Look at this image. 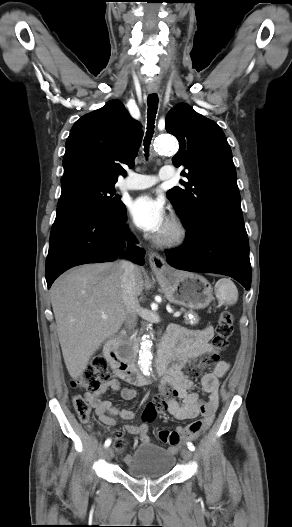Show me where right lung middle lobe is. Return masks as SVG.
Instances as JSON below:
<instances>
[{
	"instance_id": "obj_1",
	"label": "right lung middle lobe",
	"mask_w": 292,
	"mask_h": 527,
	"mask_svg": "<svg viewBox=\"0 0 292 527\" xmlns=\"http://www.w3.org/2000/svg\"><path fill=\"white\" fill-rule=\"evenodd\" d=\"M61 185L62 192L57 208L68 204L81 205L111 218H117L125 211V205L115 195L114 184L76 177L61 182Z\"/></svg>"
}]
</instances>
